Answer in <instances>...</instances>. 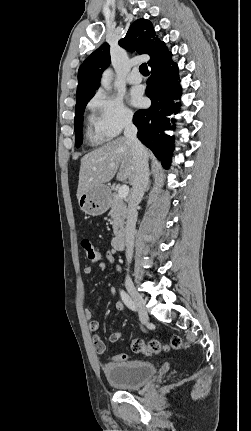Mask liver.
<instances>
[{"label": "liver", "mask_w": 251, "mask_h": 431, "mask_svg": "<svg viewBox=\"0 0 251 431\" xmlns=\"http://www.w3.org/2000/svg\"><path fill=\"white\" fill-rule=\"evenodd\" d=\"M145 152L148 160L150 151L145 148ZM116 173L119 181L128 180L132 185L135 175L133 149L125 137L112 140L82 157L77 198L89 189L109 182Z\"/></svg>", "instance_id": "6515ba94"}]
</instances>
